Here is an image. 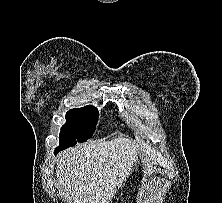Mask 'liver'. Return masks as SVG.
I'll return each instance as SVG.
<instances>
[{
	"label": "liver",
	"instance_id": "1",
	"mask_svg": "<svg viewBox=\"0 0 222 203\" xmlns=\"http://www.w3.org/2000/svg\"><path fill=\"white\" fill-rule=\"evenodd\" d=\"M138 153L139 147L128 138L93 141L64 150L55 169L57 186L70 203H110L134 163L136 166Z\"/></svg>",
	"mask_w": 222,
	"mask_h": 203
}]
</instances>
